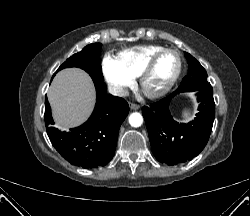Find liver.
Segmentation results:
<instances>
[{
    "label": "liver",
    "instance_id": "liver-1",
    "mask_svg": "<svg viewBox=\"0 0 250 216\" xmlns=\"http://www.w3.org/2000/svg\"><path fill=\"white\" fill-rule=\"evenodd\" d=\"M56 126L64 130L82 123L92 111L95 89L90 76L81 69L60 71L48 91Z\"/></svg>",
    "mask_w": 250,
    "mask_h": 216
}]
</instances>
